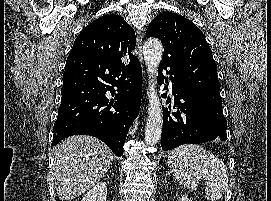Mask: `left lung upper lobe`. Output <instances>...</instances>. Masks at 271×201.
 <instances>
[{
  "label": "left lung upper lobe",
  "instance_id": "obj_1",
  "mask_svg": "<svg viewBox=\"0 0 271 201\" xmlns=\"http://www.w3.org/2000/svg\"><path fill=\"white\" fill-rule=\"evenodd\" d=\"M146 36L161 40L164 46L161 64L178 75L183 89L203 104L214 126L227 137L217 65L202 31L183 16L163 12L150 23Z\"/></svg>",
  "mask_w": 271,
  "mask_h": 201
}]
</instances>
